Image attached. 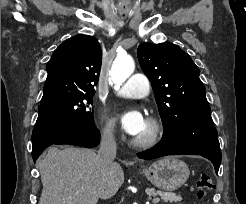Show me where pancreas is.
Instances as JSON below:
<instances>
[{
    "mask_svg": "<svg viewBox=\"0 0 246 204\" xmlns=\"http://www.w3.org/2000/svg\"><path fill=\"white\" fill-rule=\"evenodd\" d=\"M146 193L148 195H159L164 202H179L182 200L180 195H176L175 193L171 192H164V191H154L153 189H147Z\"/></svg>",
    "mask_w": 246,
    "mask_h": 204,
    "instance_id": "obj_1",
    "label": "pancreas"
}]
</instances>
